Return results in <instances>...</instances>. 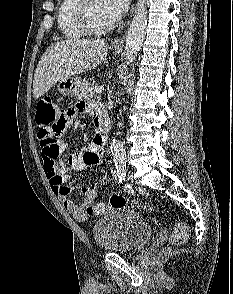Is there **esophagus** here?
Listing matches in <instances>:
<instances>
[{
  "mask_svg": "<svg viewBox=\"0 0 233 294\" xmlns=\"http://www.w3.org/2000/svg\"><path fill=\"white\" fill-rule=\"evenodd\" d=\"M123 44H124V37L117 38L112 42L113 47H122Z\"/></svg>",
  "mask_w": 233,
  "mask_h": 294,
  "instance_id": "1",
  "label": "esophagus"
}]
</instances>
